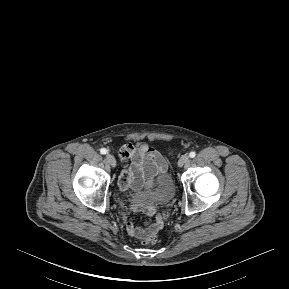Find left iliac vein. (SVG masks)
I'll return each mask as SVG.
<instances>
[{"label":"left iliac vein","mask_w":289,"mask_h":289,"mask_svg":"<svg viewBox=\"0 0 289 289\" xmlns=\"http://www.w3.org/2000/svg\"><path fill=\"white\" fill-rule=\"evenodd\" d=\"M189 161V156L188 155H182L178 161V166L182 167L183 165H185L187 162Z\"/></svg>","instance_id":"obj_1"}]
</instances>
